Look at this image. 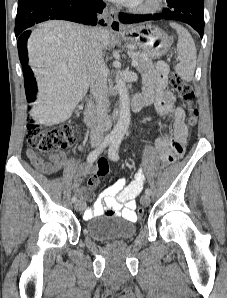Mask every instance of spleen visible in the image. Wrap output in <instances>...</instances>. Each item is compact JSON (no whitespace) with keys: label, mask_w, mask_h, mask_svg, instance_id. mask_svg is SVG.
<instances>
[{"label":"spleen","mask_w":227,"mask_h":298,"mask_svg":"<svg viewBox=\"0 0 227 298\" xmlns=\"http://www.w3.org/2000/svg\"><path fill=\"white\" fill-rule=\"evenodd\" d=\"M170 26L178 34L177 51L180 62L176 66L177 74L185 81H191L196 67V47L190 33L177 23H170Z\"/></svg>","instance_id":"spleen-1"}]
</instances>
